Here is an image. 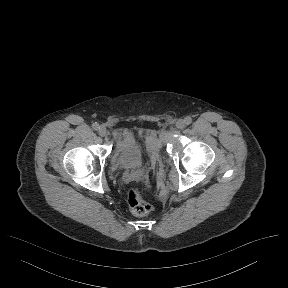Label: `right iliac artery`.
Returning <instances> with one entry per match:
<instances>
[{"mask_svg": "<svg viewBox=\"0 0 288 288\" xmlns=\"http://www.w3.org/2000/svg\"><path fill=\"white\" fill-rule=\"evenodd\" d=\"M92 127H93L94 130H99L100 125H99L98 123H94V124L92 125Z\"/></svg>", "mask_w": 288, "mask_h": 288, "instance_id": "right-iliac-artery-1", "label": "right iliac artery"}]
</instances>
